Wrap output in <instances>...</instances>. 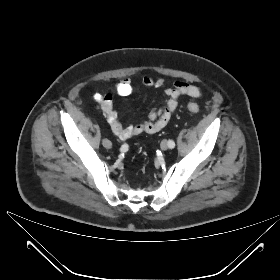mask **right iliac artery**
<instances>
[{"label": "right iliac artery", "instance_id": "82829eb1", "mask_svg": "<svg viewBox=\"0 0 280 280\" xmlns=\"http://www.w3.org/2000/svg\"><path fill=\"white\" fill-rule=\"evenodd\" d=\"M121 149H122V150H125V149H126V147L123 145V146L121 147Z\"/></svg>", "mask_w": 280, "mask_h": 280}]
</instances>
